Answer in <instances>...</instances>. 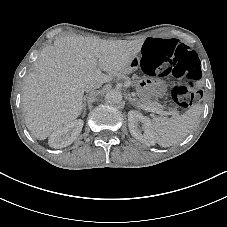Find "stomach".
I'll return each mask as SVG.
<instances>
[{
	"label": "stomach",
	"instance_id": "1",
	"mask_svg": "<svg viewBox=\"0 0 227 227\" xmlns=\"http://www.w3.org/2000/svg\"><path fill=\"white\" fill-rule=\"evenodd\" d=\"M154 78L152 76L140 77L136 82V93L141 99H152L155 93L152 91Z\"/></svg>",
	"mask_w": 227,
	"mask_h": 227
}]
</instances>
